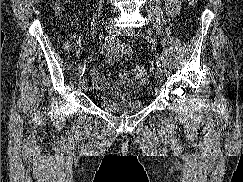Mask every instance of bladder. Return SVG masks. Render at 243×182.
Wrapping results in <instances>:
<instances>
[{"label":"bladder","mask_w":243,"mask_h":182,"mask_svg":"<svg viewBox=\"0 0 243 182\" xmlns=\"http://www.w3.org/2000/svg\"><path fill=\"white\" fill-rule=\"evenodd\" d=\"M98 104L104 111L115 115L136 113L143 108L141 99L134 95L123 98L102 95L98 98Z\"/></svg>","instance_id":"31cf9c89"}]
</instances>
